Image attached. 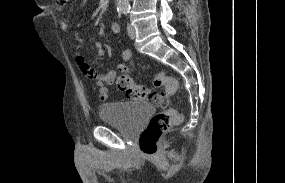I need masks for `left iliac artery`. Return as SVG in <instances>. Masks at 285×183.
Returning a JSON list of instances; mask_svg holds the SVG:
<instances>
[{
    "instance_id": "44dca946",
    "label": "left iliac artery",
    "mask_w": 285,
    "mask_h": 183,
    "mask_svg": "<svg viewBox=\"0 0 285 183\" xmlns=\"http://www.w3.org/2000/svg\"><path fill=\"white\" fill-rule=\"evenodd\" d=\"M129 10H130V7H125V8H123V11H124L125 14H126V13H129Z\"/></svg>"
}]
</instances>
